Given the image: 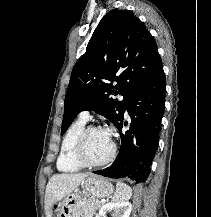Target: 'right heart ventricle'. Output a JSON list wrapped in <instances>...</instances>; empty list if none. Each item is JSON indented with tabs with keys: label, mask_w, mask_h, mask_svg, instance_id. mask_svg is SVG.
<instances>
[{
	"label": "right heart ventricle",
	"mask_w": 211,
	"mask_h": 217,
	"mask_svg": "<svg viewBox=\"0 0 211 217\" xmlns=\"http://www.w3.org/2000/svg\"><path fill=\"white\" fill-rule=\"evenodd\" d=\"M86 122L87 121L79 118L69 127L65 133L61 142L60 152L57 159V168L59 171L73 173L79 171L82 168L75 158L74 151L77 139L82 130L85 128Z\"/></svg>",
	"instance_id": "obj_1"
}]
</instances>
